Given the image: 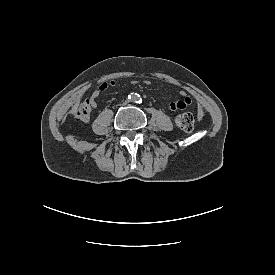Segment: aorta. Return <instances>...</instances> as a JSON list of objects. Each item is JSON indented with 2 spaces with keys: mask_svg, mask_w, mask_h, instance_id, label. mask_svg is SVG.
Masks as SVG:
<instances>
[{
  "mask_svg": "<svg viewBox=\"0 0 275 275\" xmlns=\"http://www.w3.org/2000/svg\"><path fill=\"white\" fill-rule=\"evenodd\" d=\"M138 97L137 96H133V99L136 100Z\"/></svg>",
  "mask_w": 275,
  "mask_h": 275,
  "instance_id": "762f6f07",
  "label": "aorta"
}]
</instances>
